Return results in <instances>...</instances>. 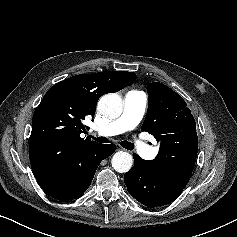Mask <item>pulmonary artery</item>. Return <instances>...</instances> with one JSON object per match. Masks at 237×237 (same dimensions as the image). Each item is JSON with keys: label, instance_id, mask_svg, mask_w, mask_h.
<instances>
[{"label": "pulmonary artery", "instance_id": "e3ab8cb5", "mask_svg": "<svg viewBox=\"0 0 237 237\" xmlns=\"http://www.w3.org/2000/svg\"><path fill=\"white\" fill-rule=\"evenodd\" d=\"M147 102V96L143 92L137 90L129 91L124 98L122 114L108 125L97 128L96 133L101 136H113L133 130L142 120ZM137 152L141 156L151 159L156 156L157 149L138 141Z\"/></svg>", "mask_w": 237, "mask_h": 237}]
</instances>
